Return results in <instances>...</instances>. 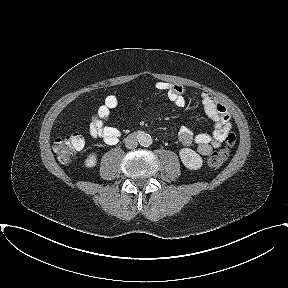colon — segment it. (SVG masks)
I'll use <instances>...</instances> for the list:
<instances>
[{"mask_svg": "<svg viewBox=\"0 0 288 288\" xmlns=\"http://www.w3.org/2000/svg\"><path fill=\"white\" fill-rule=\"evenodd\" d=\"M236 143V135L234 132L227 134L225 138V147L218 152L213 153L207 159V166L211 169L221 167L227 160L231 148ZM85 144L84 137L78 132L66 133L59 135L53 144L58 159L63 163L70 162L75 154L80 151Z\"/></svg>", "mask_w": 288, "mask_h": 288, "instance_id": "colon-1", "label": "colon"}]
</instances>
